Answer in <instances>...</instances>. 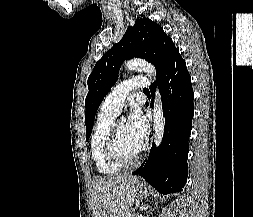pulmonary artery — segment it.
<instances>
[{"label": "pulmonary artery", "mask_w": 253, "mask_h": 217, "mask_svg": "<svg viewBox=\"0 0 253 217\" xmlns=\"http://www.w3.org/2000/svg\"><path fill=\"white\" fill-rule=\"evenodd\" d=\"M148 86L149 80L144 76H135L119 83L108 93L102 103L101 110L117 115L131 91L145 89Z\"/></svg>", "instance_id": "pulmonary-artery-1"}]
</instances>
